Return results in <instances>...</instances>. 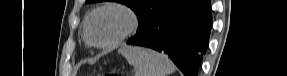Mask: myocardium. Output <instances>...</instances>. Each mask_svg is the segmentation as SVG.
I'll use <instances>...</instances> for the list:
<instances>
[{"instance_id": "myocardium-1", "label": "myocardium", "mask_w": 287, "mask_h": 76, "mask_svg": "<svg viewBox=\"0 0 287 76\" xmlns=\"http://www.w3.org/2000/svg\"><path fill=\"white\" fill-rule=\"evenodd\" d=\"M107 10H115L123 13L127 18V23L123 30L115 36L113 39L105 42V43H98L94 41L90 37L89 28L91 20L99 13L107 11ZM139 26V18L136 12L129 6L118 3V2H112L104 4L100 7L95 8L92 10L89 15L87 16L85 23H84V36L86 41L93 47L99 48V49H107L116 46L123 40H125L127 37H129L132 33H134Z\"/></svg>"}]
</instances>
